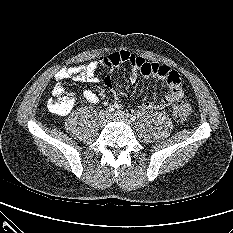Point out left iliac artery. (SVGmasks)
<instances>
[{"label":"left iliac artery","mask_w":233,"mask_h":233,"mask_svg":"<svg viewBox=\"0 0 233 233\" xmlns=\"http://www.w3.org/2000/svg\"><path fill=\"white\" fill-rule=\"evenodd\" d=\"M130 119H131V121H135L136 116L132 114V115H130Z\"/></svg>","instance_id":"obj_1"}]
</instances>
